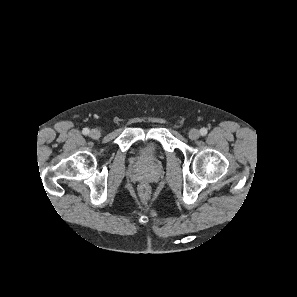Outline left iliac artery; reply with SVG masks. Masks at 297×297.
<instances>
[{
  "mask_svg": "<svg viewBox=\"0 0 297 297\" xmlns=\"http://www.w3.org/2000/svg\"><path fill=\"white\" fill-rule=\"evenodd\" d=\"M207 129L206 128H201L200 129V134L202 135V136H205L206 134H207Z\"/></svg>",
  "mask_w": 297,
  "mask_h": 297,
  "instance_id": "1",
  "label": "left iliac artery"
}]
</instances>
